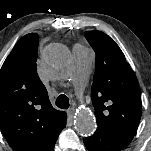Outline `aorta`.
Returning <instances> with one entry per match:
<instances>
[{
	"instance_id": "762f6f07",
	"label": "aorta",
	"mask_w": 151,
	"mask_h": 151,
	"mask_svg": "<svg viewBox=\"0 0 151 151\" xmlns=\"http://www.w3.org/2000/svg\"><path fill=\"white\" fill-rule=\"evenodd\" d=\"M45 62L54 69L60 70L69 60L68 50L60 44H53L45 51ZM76 129L82 135H90L96 128L95 117L88 110H79L76 115Z\"/></svg>"
}]
</instances>
